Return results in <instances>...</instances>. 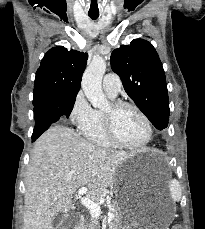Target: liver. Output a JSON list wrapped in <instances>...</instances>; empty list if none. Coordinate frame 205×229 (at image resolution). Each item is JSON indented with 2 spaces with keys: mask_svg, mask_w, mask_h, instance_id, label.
<instances>
[{
  "mask_svg": "<svg viewBox=\"0 0 205 229\" xmlns=\"http://www.w3.org/2000/svg\"><path fill=\"white\" fill-rule=\"evenodd\" d=\"M132 153L95 146L73 129L50 127L34 143L25 178L23 229H53L54 217L74 209L72 197L88 186L98 201Z\"/></svg>",
  "mask_w": 205,
  "mask_h": 229,
  "instance_id": "liver-1",
  "label": "liver"
}]
</instances>
